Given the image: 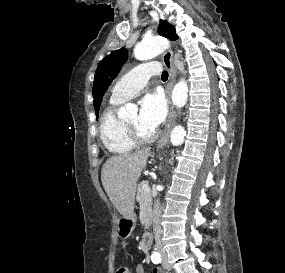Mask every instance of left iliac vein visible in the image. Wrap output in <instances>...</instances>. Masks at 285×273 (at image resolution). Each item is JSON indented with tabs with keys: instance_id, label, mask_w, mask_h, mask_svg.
<instances>
[{
	"instance_id": "1",
	"label": "left iliac vein",
	"mask_w": 285,
	"mask_h": 273,
	"mask_svg": "<svg viewBox=\"0 0 285 273\" xmlns=\"http://www.w3.org/2000/svg\"><path fill=\"white\" fill-rule=\"evenodd\" d=\"M162 266H163L164 269L170 270V265H169V263H168L167 258H166L165 255L163 256Z\"/></svg>"
}]
</instances>
